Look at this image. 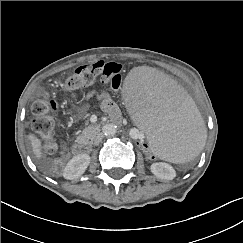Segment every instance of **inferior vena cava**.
I'll return each mask as SVG.
<instances>
[{"instance_id": "inferior-vena-cava-1", "label": "inferior vena cava", "mask_w": 243, "mask_h": 243, "mask_svg": "<svg viewBox=\"0 0 243 243\" xmlns=\"http://www.w3.org/2000/svg\"><path fill=\"white\" fill-rule=\"evenodd\" d=\"M103 137H104V136H103L102 133L98 134V135L95 136V138L93 139L92 144H93V145H99V143L102 141Z\"/></svg>"}]
</instances>
